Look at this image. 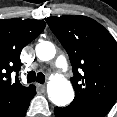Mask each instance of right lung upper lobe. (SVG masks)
<instances>
[{"mask_svg": "<svg viewBox=\"0 0 117 117\" xmlns=\"http://www.w3.org/2000/svg\"><path fill=\"white\" fill-rule=\"evenodd\" d=\"M43 20L0 19V117H10L35 93L24 87L17 74L22 49L44 30ZM16 74V76H15Z\"/></svg>", "mask_w": 117, "mask_h": 117, "instance_id": "obj_1", "label": "right lung upper lobe"}]
</instances>
